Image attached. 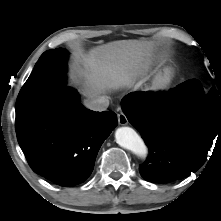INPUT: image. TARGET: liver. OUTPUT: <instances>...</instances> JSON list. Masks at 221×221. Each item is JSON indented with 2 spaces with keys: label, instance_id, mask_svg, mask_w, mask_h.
Here are the masks:
<instances>
[{
  "label": "liver",
  "instance_id": "liver-1",
  "mask_svg": "<svg viewBox=\"0 0 221 221\" xmlns=\"http://www.w3.org/2000/svg\"><path fill=\"white\" fill-rule=\"evenodd\" d=\"M154 44L120 40L92 48L81 56L78 72L85 79V95L95 98L110 90L132 87L149 71Z\"/></svg>",
  "mask_w": 221,
  "mask_h": 221
}]
</instances>
